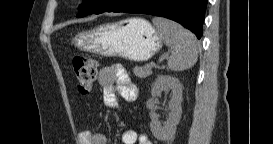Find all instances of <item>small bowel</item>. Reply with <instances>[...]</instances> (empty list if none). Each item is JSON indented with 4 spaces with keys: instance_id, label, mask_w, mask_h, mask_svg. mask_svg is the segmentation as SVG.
Wrapping results in <instances>:
<instances>
[{
    "instance_id": "1",
    "label": "small bowel",
    "mask_w": 273,
    "mask_h": 144,
    "mask_svg": "<svg viewBox=\"0 0 273 144\" xmlns=\"http://www.w3.org/2000/svg\"><path fill=\"white\" fill-rule=\"evenodd\" d=\"M99 83L104 90L105 103L109 107L116 106L117 95L127 102H132L137 98L136 87L126 70L119 65L102 68L99 73ZM121 140L124 144H151L145 135L138 134L132 129L125 130ZM78 141L80 144H107L108 139L102 132L85 130L78 134Z\"/></svg>"
}]
</instances>
